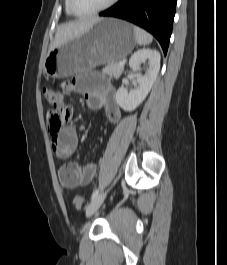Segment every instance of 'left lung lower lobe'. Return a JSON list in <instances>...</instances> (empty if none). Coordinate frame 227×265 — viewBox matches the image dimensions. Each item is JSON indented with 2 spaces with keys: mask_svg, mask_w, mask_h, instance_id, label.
Masks as SVG:
<instances>
[{
  "mask_svg": "<svg viewBox=\"0 0 227 265\" xmlns=\"http://www.w3.org/2000/svg\"><path fill=\"white\" fill-rule=\"evenodd\" d=\"M177 0H119L100 16L117 17L150 32L166 55L172 33Z\"/></svg>",
  "mask_w": 227,
  "mask_h": 265,
  "instance_id": "left-lung-lower-lobe-1",
  "label": "left lung lower lobe"
}]
</instances>
